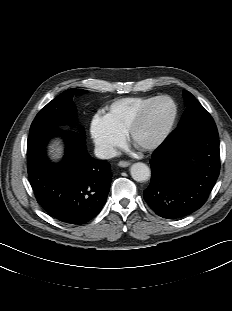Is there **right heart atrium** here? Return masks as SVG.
<instances>
[{
	"mask_svg": "<svg viewBox=\"0 0 232 311\" xmlns=\"http://www.w3.org/2000/svg\"><path fill=\"white\" fill-rule=\"evenodd\" d=\"M90 135L99 153L105 157L114 155L123 143V135L117 133L99 114L91 120Z\"/></svg>",
	"mask_w": 232,
	"mask_h": 311,
	"instance_id": "right-heart-atrium-1",
	"label": "right heart atrium"
}]
</instances>
